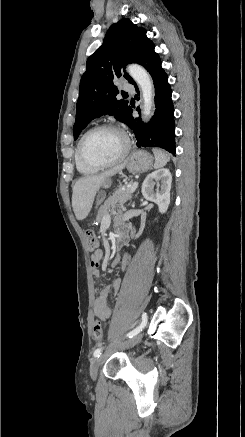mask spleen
Listing matches in <instances>:
<instances>
[{"label":"spleen","mask_w":245,"mask_h":437,"mask_svg":"<svg viewBox=\"0 0 245 437\" xmlns=\"http://www.w3.org/2000/svg\"><path fill=\"white\" fill-rule=\"evenodd\" d=\"M152 151L155 156V163H154L155 169L162 168L167 164V162H169L170 156L165 151L159 148H153Z\"/></svg>","instance_id":"obj_1"}]
</instances>
